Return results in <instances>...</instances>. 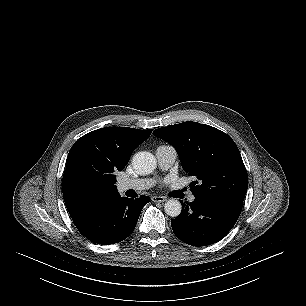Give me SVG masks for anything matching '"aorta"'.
I'll return each instance as SVG.
<instances>
[{
  "mask_svg": "<svg viewBox=\"0 0 306 306\" xmlns=\"http://www.w3.org/2000/svg\"><path fill=\"white\" fill-rule=\"evenodd\" d=\"M132 165L138 174L148 175L155 170L157 161L154 155L143 151L138 152L133 156ZM164 210L167 215L177 217L181 213L182 206L178 200L170 199L165 203Z\"/></svg>",
  "mask_w": 306,
  "mask_h": 306,
  "instance_id": "aorta-1",
  "label": "aorta"
}]
</instances>
